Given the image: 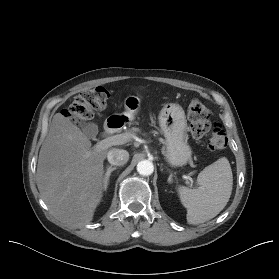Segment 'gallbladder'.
<instances>
[{
    "label": "gallbladder",
    "instance_id": "gallbladder-1",
    "mask_svg": "<svg viewBox=\"0 0 279 279\" xmlns=\"http://www.w3.org/2000/svg\"><path fill=\"white\" fill-rule=\"evenodd\" d=\"M83 133L89 137V138H93L97 135L98 133V127L96 124L94 123H88L86 125H84L83 127Z\"/></svg>",
    "mask_w": 279,
    "mask_h": 279
}]
</instances>
